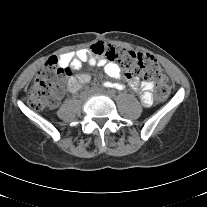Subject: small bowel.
Segmentation results:
<instances>
[{
	"instance_id": "small-bowel-1",
	"label": "small bowel",
	"mask_w": 207,
	"mask_h": 207,
	"mask_svg": "<svg viewBox=\"0 0 207 207\" xmlns=\"http://www.w3.org/2000/svg\"><path fill=\"white\" fill-rule=\"evenodd\" d=\"M99 44L102 42H98ZM97 44V43H96ZM59 64L62 67H68L73 71H78L83 67V64H88L90 66H101L105 72V74L113 79H119L123 76V73L118 66V64L109 61L105 56L98 55L93 52V50L89 51L87 49H80L76 52H66L58 57ZM130 86L138 90L141 93V103L144 106H150L153 103V84L147 82H140L138 78L132 77L129 78ZM90 76L86 73H80L77 75H72L67 83V92L74 94L78 92L84 85L89 83ZM105 89L113 90L116 92H122L125 89L124 84L117 83L115 81H107L104 84Z\"/></svg>"
}]
</instances>
